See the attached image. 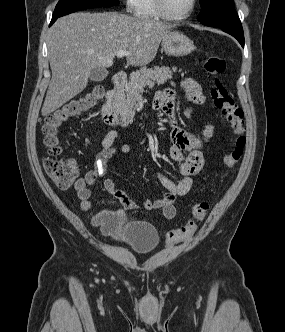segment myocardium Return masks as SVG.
I'll list each match as a JSON object with an SVG mask.
<instances>
[{
	"label": "myocardium",
	"mask_w": 285,
	"mask_h": 332,
	"mask_svg": "<svg viewBox=\"0 0 285 332\" xmlns=\"http://www.w3.org/2000/svg\"><path fill=\"white\" fill-rule=\"evenodd\" d=\"M156 8L158 13L163 19L169 20V21H182L187 19L195 10L197 5V0H191V5L189 9L182 15L174 16L169 13L167 7H166V1L165 0H155Z\"/></svg>",
	"instance_id": "myocardium-1"
}]
</instances>
